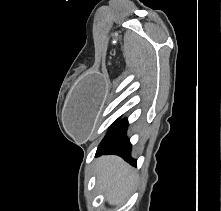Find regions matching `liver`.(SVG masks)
I'll use <instances>...</instances> for the list:
<instances>
[{
  "label": "liver",
  "mask_w": 221,
  "mask_h": 211,
  "mask_svg": "<svg viewBox=\"0 0 221 211\" xmlns=\"http://www.w3.org/2000/svg\"><path fill=\"white\" fill-rule=\"evenodd\" d=\"M98 185L111 205L122 203L127 197L135 174L131 167L117 156H102L97 161Z\"/></svg>",
  "instance_id": "obj_1"
}]
</instances>
